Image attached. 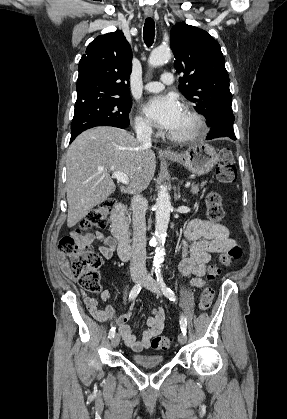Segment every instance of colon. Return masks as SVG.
I'll list each match as a JSON object with an SVG mask.
<instances>
[{
	"instance_id": "1",
	"label": "colon",
	"mask_w": 287,
	"mask_h": 419,
	"mask_svg": "<svg viewBox=\"0 0 287 419\" xmlns=\"http://www.w3.org/2000/svg\"><path fill=\"white\" fill-rule=\"evenodd\" d=\"M217 179L227 185L233 186L237 181V169L233 153L230 149L224 148L218 154L216 165ZM207 206L209 218L214 222L222 220L224 211L222 198L216 192H211L207 196ZM114 207L112 200H105L94 207L87 214L81 224V228L76 229L71 234L64 236L59 242V250L70 259V271L78 280L80 287L88 292H98L100 290V276L98 269L101 266L100 256L93 250L89 242L82 235L83 230L93 227L105 228L109 222L110 215ZM242 249L239 245H233L220 256L218 264L210 267L208 279L213 280L218 274L219 265H229L232 261L240 259ZM214 290L210 287L205 288L200 296L199 306L202 310H208L213 301ZM172 343V338L168 336H157L151 346L156 350H167Z\"/></svg>"
}]
</instances>
